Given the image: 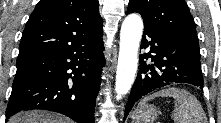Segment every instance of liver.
<instances>
[{
  "label": "liver",
  "instance_id": "liver-1",
  "mask_svg": "<svg viewBox=\"0 0 221 123\" xmlns=\"http://www.w3.org/2000/svg\"><path fill=\"white\" fill-rule=\"evenodd\" d=\"M8 123H69V120L51 112L27 111L17 113L9 119Z\"/></svg>",
  "mask_w": 221,
  "mask_h": 123
}]
</instances>
